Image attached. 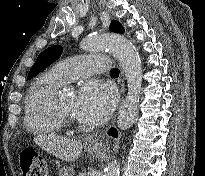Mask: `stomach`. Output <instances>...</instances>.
<instances>
[{"label":"stomach","mask_w":205,"mask_h":176,"mask_svg":"<svg viewBox=\"0 0 205 176\" xmlns=\"http://www.w3.org/2000/svg\"><path fill=\"white\" fill-rule=\"evenodd\" d=\"M103 147L101 145L98 146H87V150L90 154H98L102 151ZM74 172L72 168H66L61 170L60 176H73Z\"/></svg>","instance_id":"stomach-1"}]
</instances>
